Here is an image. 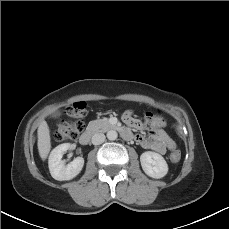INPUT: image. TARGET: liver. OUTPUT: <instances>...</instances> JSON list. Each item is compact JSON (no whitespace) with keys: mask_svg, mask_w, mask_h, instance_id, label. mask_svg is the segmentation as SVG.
<instances>
[{"mask_svg":"<svg viewBox=\"0 0 229 229\" xmlns=\"http://www.w3.org/2000/svg\"><path fill=\"white\" fill-rule=\"evenodd\" d=\"M38 151L42 160H45L51 150L50 129L45 120L41 121L38 130Z\"/></svg>","mask_w":229,"mask_h":229,"instance_id":"1","label":"liver"}]
</instances>
